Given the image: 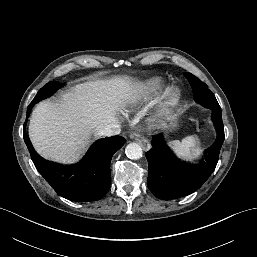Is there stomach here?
<instances>
[{
    "instance_id": "obj_1",
    "label": "stomach",
    "mask_w": 257,
    "mask_h": 257,
    "mask_svg": "<svg viewBox=\"0 0 257 257\" xmlns=\"http://www.w3.org/2000/svg\"><path fill=\"white\" fill-rule=\"evenodd\" d=\"M177 115L175 114H168L165 116V121H164V126L167 129H174L175 127H177Z\"/></svg>"
}]
</instances>
